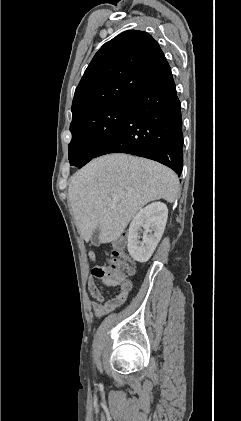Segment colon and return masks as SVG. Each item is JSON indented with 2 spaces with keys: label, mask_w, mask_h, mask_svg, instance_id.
I'll return each mask as SVG.
<instances>
[{
  "label": "colon",
  "mask_w": 241,
  "mask_h": 421,
  "mask_svg": "<svg viewBox=\"0 0 241 421\" xmlns=\"http://www.w3.org/2000/svg\"><path fill=\"white\" fill-rule=\"evenodd\" d=\"M113 251L106 261L94 268V275L115 286H123L128 283V275L132 273L133 268L127 261L123 253L124 240L119 239L113 245Z\"/></svg>",
  "instance_id": "1"
}]
</instances>
